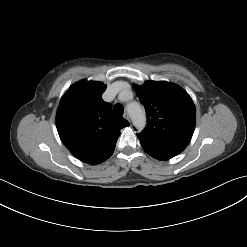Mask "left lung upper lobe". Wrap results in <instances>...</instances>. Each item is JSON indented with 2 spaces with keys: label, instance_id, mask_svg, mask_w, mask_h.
Here are the masks:
<instances>
[{
  "label": "left lung upper lobe",
  "instance_id": "obj_1",
  "mask_svg": "<svg viewBox=\"0 0 247 247\" xmlns=\"http://www.w3.org/2000/svg\"><path fill=\"white\" fill-rule=\"evenodd\" d=\"M134 90L147 115V126L137 134L142 145L176 154L189 144L195 128L196 110L189 95L178 85L146 81Z\"/></svg>",
  "mask_w": 247,
  "mask_h": 247
}]
</instances>
